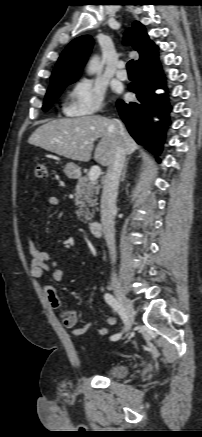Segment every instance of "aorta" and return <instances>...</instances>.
Here are the masks:
<instances>
[{"label": "aorta", "mask_w": 202, "mask_h": 437, "mask_svg": "<svg viewBox=\"0 0 202 437\" xmlns=\"http://www.w3.org/2000/svg\"><path fill=\"white\" fill-rule=\"evenodd\" d=\"M103 68V64L101 63L100 59L98 56H94L90 59L89 63H88V69L87 72L88 74H94L98 71H101Z\"/></svg>", "instance_id": "aorta-1"}]
</instances>
